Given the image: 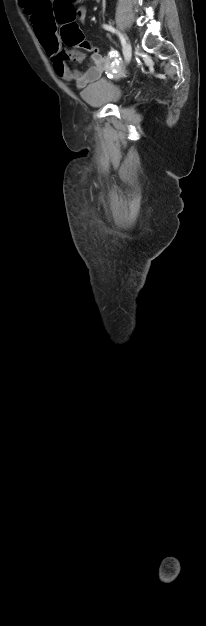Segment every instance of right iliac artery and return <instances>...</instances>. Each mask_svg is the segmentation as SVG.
<instances>
[{
	"label": "right iliac artery",
	"instance_id": "right-iliac-artery-1",
	"mask_svg": "<svg viewBox=\"0 0 206 626\" xmlns=\"http://www.w3.org/2000/svg\"><path fill=\"white\" fill-rule=\"evenodd\" d=\"M103 28L108 30V31H110V32H112V33H116L119 36V38H120L122 46L123 47L125 46L126 41H125L124 37L120 33H118L117 30H115V28H113L112 26H109L107 24H104Z\"/></svg>",
	"mask_w": 206,
	"mask_h": 626
}]
</instances>
